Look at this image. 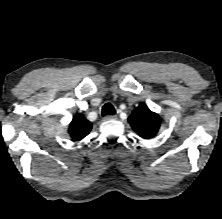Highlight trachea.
I'll return each instance as SVG.
<instances>
[{
  "mask_svg": "<svg viewBox=\"0 0 222 219\" xmlns=\"http://www.w3.org/2000/svg\"><path fill=\"white\" fill-rule=\"evenodd\" d=\"M115 113H116V111H115L113 105L110 104V103H106V104L102 107V115H103V116L113 115V114H115Z\"/></svg>",
  "mask_w": 222,
  "mask_h": 219,
  "instance_id": "3493384b",
  "label": "trachea"
}]
</instances>
